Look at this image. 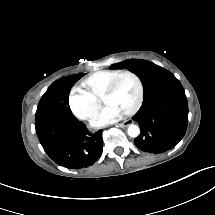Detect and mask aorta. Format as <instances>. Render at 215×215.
Returning a JSON list of instances; mask_svg holds the SVG:
<instances>
[{"label": "aorta", "mask_w": 215, "mask_h": 215, "mask_svg": "<svg viewBox=\"0 0 215 215\" xmlns=\"http://www.w3.org/2000/svg\"><path fill=\"white\" fill-rule=\"evenodd\" d=\"M140 133V129L136 124H130L127 129V134L130 137H137Z\"/></svg>", "instance_id": "762f6f07"}]
</instances>
